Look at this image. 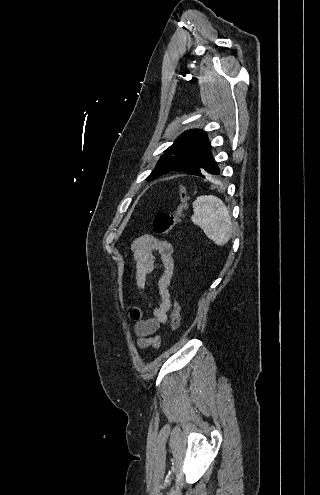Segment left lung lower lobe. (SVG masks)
Segmentation results:
<instances>
[{
  "instance_id": "0a47b994",
  "label": "left lung lower lobe",
  "mask_w": 320,
  "mask_h": 495,
  "mask_svg": "<svg viewBox=\"0 0 320 495\" xmlns=\"http://www.w3.org/2000/svg\"><path fill=\"white\" fill-rule=\"evenodd\" d=\"M205 178L209 175H218L220 170L211 153H209L199 164L185 172Z\"/></svg>"
}]
</instances>
